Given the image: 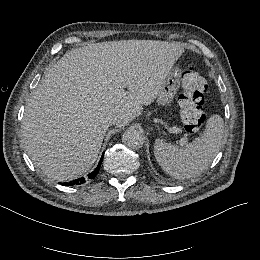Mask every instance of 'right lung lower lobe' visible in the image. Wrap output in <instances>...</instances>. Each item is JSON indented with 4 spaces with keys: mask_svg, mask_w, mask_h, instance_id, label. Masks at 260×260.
<instances>
[{
    "mask_svg": "<svg viewBox=\"0 0 260 260\" xmlns=\"http://www.w3.org/2000/svg\"><path fill=\"white\" fill-rule=\"evenodd\" d=\"M103 157H104V153H103V155L100 159V162L98 163V166L96 167V169L88 175L89 179H93L98 174L102 160H103ZM83 183H85V178L81 177V178L76 179L74 181L61 183V185H63V186H77V185H81Z\"/></svg>",
    "mask_w": 260,
    "mask_h": 260,
    "instance_id": "right-lung-lower-lobe-1",
    "label": "right lung lower lobe"
}]
</instances>
